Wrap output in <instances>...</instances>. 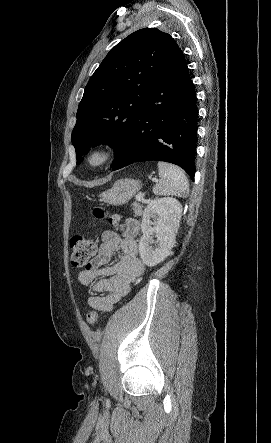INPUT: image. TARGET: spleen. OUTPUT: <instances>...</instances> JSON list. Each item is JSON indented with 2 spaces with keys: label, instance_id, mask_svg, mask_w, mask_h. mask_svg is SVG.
Masks as SVG:
<instances>
[{
  "label": "spleen",
  "instance_id": "3e777b00",
  "mask_svg": "<svg viewBox=\"0 0 271 443\" xmlns=\"http://www.w3.org/2000/svg\"><path fill=\"white\" fill-rule=\"evenodd\" d=\"M158 176L161 182H158L153 188L155 196H179L187 198L189 194L188 180L181 168L158 162Z\"/></svg>",
  "mask_w": 271,
  "mask_h": 443
}]
</instances>
